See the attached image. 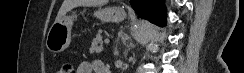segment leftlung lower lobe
<instances>
[{
	"mask_svg": "<svg viewBox=\"0 0 244 73\" xmlns=\"http://www.w3.org/2000/svg\"><path fill=\"white\" fill-rule=\"evenodd\" d=\"M130 2L140 17L158 25H165V8L161 0H130Z\"/></svg>",
	"mask_w": 244,
	"mask_h": 73,
	"instance_id": "1",
	"label": "left lung lower lobe"
}]
</instances>
